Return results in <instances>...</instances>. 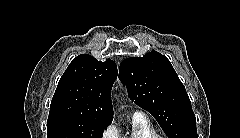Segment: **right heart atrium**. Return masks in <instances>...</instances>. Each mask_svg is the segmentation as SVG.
Returning <instances> with one entry per match:
<instances>
[{
  "instance_id": "obj_1",
  "label": "right heart atrium",
  "mask_w": 240,
  "mask_h": 138,
  "mask_svg": "<svg viewBox=\"0 0 240 138\" xmlns=\"http://www.w3.org/2000/svg\"><path fill=\"white\" fill-rule=\"evenodd\" d=\"M117 129L114 125L110 124L105 127L102 132V138H117Z\"/></svg>"
}]
</instances>
